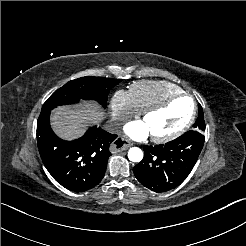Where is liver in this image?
<instances>
[{"label":"liver","instance_id":"1","mask_svg":"<svg viewBox=\"0 0 246 246\" xmlns=\"http://www.w3.org/2000/svg\"><path fill=\"white\" fill-rule=\"evenodd\" d=\"M103 116L96 105L62 106L52 115V127L60 137L72 140L83 133L86 123H99Z\"/></svg>","mask_w":246,"mask_h":246}]
</instances>
